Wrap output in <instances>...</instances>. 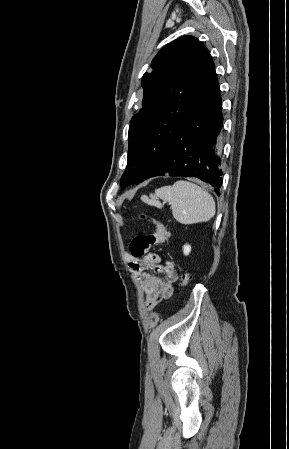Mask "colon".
<instances>
[{"label": "colon", "instance_id": "colon-1", "mask_svg": "<svg viewBox=\"0 0 289 449\" xmlns=\"http://www.w3.org/2000/svg\"><path fill=\"white\" fill-rule=\"evenodd\" d=\"M151 222L155 227L153 233H142L136 235L129 245V250L134 257L144 258L148 254L151 247L166 243L168 239V231L165 226L157 218H152ZM181 282L184 287L189 285L190 276L186 272L181 274Z\"/></svg>", "mask_w": 289, "mask_h": 449}]
</instances>
